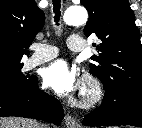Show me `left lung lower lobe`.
Listing matches in <instances>:
<instances>
[{
	"label": "left lung lower lobe",
	"instance_id": "obj_1",
	"mask_svg": "<svg viewBox=\"0 0 142 128\" xmlns=\"http://www.w3.org/2000/svg\"><path fill=\"white\" fill-rule=\"evenodd\" d=\"M82 124L96 127L115 125L142 127V94L115 96L114 100L104 96L101 106L88 113Z\"/></svg>",
	"mask_w": 142,
	"mask_h": 128
}]
</instances>
